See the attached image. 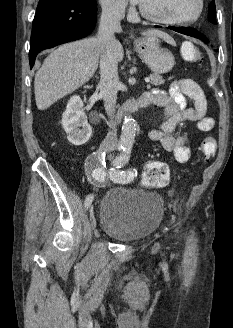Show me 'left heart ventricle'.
<instances>
[{"mask_svg":"<svg viewBox=\"0 0 233 328\" xmlns=\"http://www.w3.org/2000/svg\"><path fill=\"white\" fill-rule=\"evenodd\" d=\"M140 5L152 15L172 20L191 18L197 9L196 0H142Z\"/></svg>","mask_w":233,"mask_h":328,"instance_id":"obj_1","label":"left heart ventricle"}]
</instances>
